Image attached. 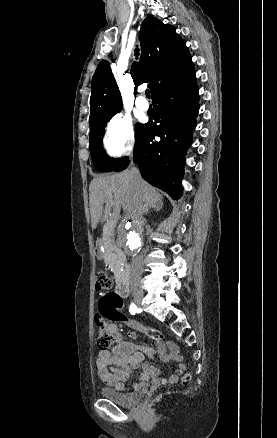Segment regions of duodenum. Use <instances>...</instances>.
Returning <instances> with one entry per match:
<instances>
[{
	"instance_id": "obj_1",
	"label": "duodenum",
	"mask_w": 277,
	"mask_h": 438,
	"mask_svg": "<svg viewBox=\"0 0 277 438\" xmlns=\"http://www.w3.org/2000/svg\"><path fill=\"white\" fill-rule=\"evenodd\" d=\"M94 252L96 257L100 258L102 256V242L97 241L95 243ZM128 292H129V282H128L127 273L125 272L117 280L116 293L124 297L128 294Z\"/></svg>"
}]
</instances>
